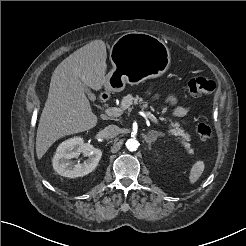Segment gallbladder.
Segmentation results:
<instances>
[{
    "instance_id": "gallbladder-1",
    "label": "gallbladder",
    "mask_w": 246,
    "mask_h": 246,
    "mask_svg": "<svg viewBox=\"0 0 246 246\" xmlns=\"http://www.w3.org/2000/svg\"><path fill=\"white\" fill-rule=\"evenodd\" d=\"M83 86H84L85 92L87 93L88 97H89L90 99H92V98L94 97V95H93V93L91 92V90H90L86 85L83 84Z\"/></svg>"
}]
</instances>
